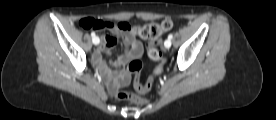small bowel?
Segmentation results:
<instances>
[{
    "label": "small bowel",
    "instance_id": "small-bowel-1",
    "mask_svg": "<svg viewBox=\"0 0 276 120\" xmlns=\"http://www.w3.org/2000/svg\"><path fill=\"white\" fill-rule=\"evenodd\" d=\"M102 22L104 26L101 29H106L109 34L102 37V45L94 54L93 62L102 72L108 91L111 94H115L120 86L128 82L127 75L124 72H119L117 68L124 67L127 61L131 59L139 58L142 54V45L137 39L136 33L133 32L127 23ZM120 35L124 36L126 51L117 57L114 62V68L109 69L103 60V53H109L117 45L116 37Z\"/></svg>",
    "mask_w": 276,
    "mask_h": 120
}]
</instances>
